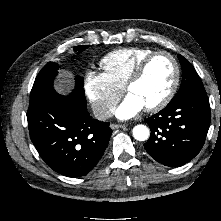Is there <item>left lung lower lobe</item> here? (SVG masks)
I'll use <instances>...</instances> for the list:
<instances>
[{
    "instance_id": "0a47b994",
    "label": "left lung lower lobe",
    "mask_w": 221,
    "mask_h": 221,
    "mask_svg": "<svg viewBox=\"0 0 221 221\" xmlns=\"http://www.w3.org/2000/svg\"><path fill=\"white\" fill-rule=\"evenodd\" d=\"M151 136L144 147L159 163L177 167L193 159L204 145L211 111L207 94L170 102L147 118Z\"/></svg>"
}]
</instances>
